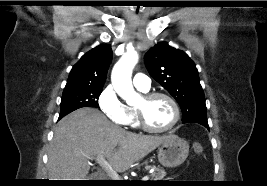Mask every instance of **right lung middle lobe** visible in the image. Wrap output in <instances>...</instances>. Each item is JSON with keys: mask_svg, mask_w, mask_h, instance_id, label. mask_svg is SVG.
<instances>
[{"mask_svg": "<svg viewBox=\"0 0 267 186\" xmlns=\"http://www.w3.org/2000/svg\"><path fill=\"white\" fill-rule=\"evenodd\" d=\"M103 88H69L64 89L60 104V115L82 107H99L98 99Z\"/></svg>", "mask_w": 267, "mask_h": 186, "instance_id": "dd1d6c3e", "label": "right lung middle lobe"}]
</instances>
